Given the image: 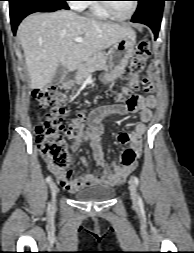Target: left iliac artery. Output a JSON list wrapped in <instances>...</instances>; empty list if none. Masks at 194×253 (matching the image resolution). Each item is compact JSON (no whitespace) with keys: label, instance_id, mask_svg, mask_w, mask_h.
Masks as SVG:
<instances>
[{"label":"left iliac artery","instance_id":"left-iliac-artery-1","mask_svg":"<svg viewBox=\"0 0 194 253\" xmlns=\"http://www.w3.org/2000/svg\"><path fill=\"white\" fill-rule=\"evenodd\" d=\"M133 181L137 186L139 185V179L136 176L133 177ZM138 203L140 206H143V201L140 196H138Z\"/></svg>","mask_w":194,"mask_h":253}]
</instances>
